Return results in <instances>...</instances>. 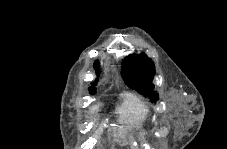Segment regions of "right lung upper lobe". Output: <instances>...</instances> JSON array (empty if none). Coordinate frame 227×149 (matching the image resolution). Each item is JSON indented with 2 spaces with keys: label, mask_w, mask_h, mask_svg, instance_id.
<instances>
[{
  "label": "right lung upper lobe",
  "mask_w": 227,
  "mask_h": 149,
  "mask_svg": "<svg viewBox=\"0 0 227 149\" xmlns=\"http://www.w3.org/2000/svg\"><path fill=\"white\" fill-rule=\"evenodd\" d=\"M94 69L96 70V74L99 75L100 73V65H99V61H95L93 64ZM96 83H92V87L90 88V93H92V91L95 89Z\"/></svg>",
  "instance_id": "1"
}]
</instances>
